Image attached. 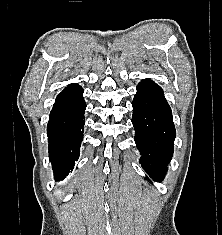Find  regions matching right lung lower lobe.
<instances>
[{
  "mask_svg": "<svg viewBox=\"0 0 222 235\" xmlns=\"http://www.w3.org/2000/svg\"><path fill=\"white\" fill-rule=\"evenodd\" d=\"M86 103L83 89L71 84L58 94L47 126L49 157L56 180L65 178L78 159Z\"/></svg>",
  "mask_w": 222,
  "mask_h": 235,
  "instance_id": "98d812e1",
  "label": "right lung lower lobe"
}]
</instances>
